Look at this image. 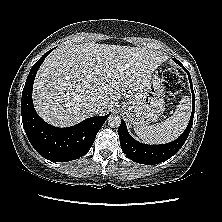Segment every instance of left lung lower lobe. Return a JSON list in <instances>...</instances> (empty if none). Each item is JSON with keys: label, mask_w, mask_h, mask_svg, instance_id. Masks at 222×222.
I'll return each instance as SVG.
<instances>
[{"label": "left lung lower lobe", "mask_w": 222, "mask_h": 222, "mask_svg": "<svg viewBox=\"0 0 222 222\" xmlns=\"http://www.w3.org/2000/svg\"><path fill=\"white\" fill-rule=\"evenodd\" d=\"M173 60L183 67V65L177 59ZM183 69L187 72L191 91H192V113L190 117L189 124L185 131L180 135L176 140L161 145H148L142 144L136 141L131 135L128 133L124 120H121V124L118 128V134L120 138V144L122 151L126 154V156L138 163L153 165L163 161L168 160L173 155H175L182 145L185 143L188 135L190 133L192 124H193V117H194V110H195V96L192 86V80L189 72L183 67Z\"/></svg>", "instance_id": "left-lung-lower-lobe-1"}]
</instances>
